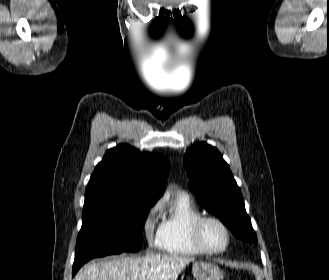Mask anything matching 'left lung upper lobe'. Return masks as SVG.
Segmentation results:
<instances>
[{"label":"left lung upper lobe","mask_w":329,"mask_h":280,"mask_svg":"<svg viewBox=\"0 0 329 280\" xmlns=\"http://www.w3.org/2000/svg\"><path fill=\"white\" fill-rule=\"evenodd\" d=\"M184 166L199 205L216 214L236 237L256 241L241 191L219 151L206 142L197 143L185 154Z\"/></svg>","instance_id":"left-lung-upper-lobe-1"}]
</instances>
